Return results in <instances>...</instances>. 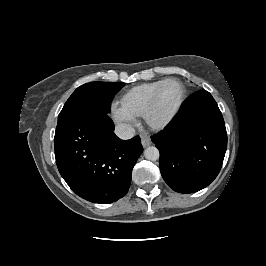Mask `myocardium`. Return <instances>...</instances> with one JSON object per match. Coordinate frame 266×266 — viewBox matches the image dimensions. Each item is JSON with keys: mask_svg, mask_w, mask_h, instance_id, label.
Here are the masks:
<instances>
[{"mask_svg": "<svg viewBox=\"0 0 266 266\" xmlns=\"http://www.w3.org/2000/svg\"><path fill=\"white\" fill-rule=\"evenodd\" d=\"M170 82H176L180 85L181 87V97L179 100V103L177 105V107L175 108V110L170 114V116L168 118H166L164 121L162 122H156L153 120V113L155 111L156 105H157V100L159 97V94L162 90V88L170 83ZM187 98V89L185 84L176 77H170L165 79L160 85L159 87L155 90L154 94L152 95V98L144 112V120L146 122V124L152 128L153 130H163L165 128H167L178 116V114L180 113L185 101Z\"/></svg>", "mask_w": 266, "mask_h": 266, "instance_id": "myocardium-1", "label": "myocardium"}]
</instances>
